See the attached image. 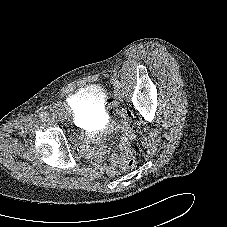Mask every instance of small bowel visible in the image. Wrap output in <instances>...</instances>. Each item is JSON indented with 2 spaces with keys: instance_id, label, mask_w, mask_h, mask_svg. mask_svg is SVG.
<instances>
[{
  "instance_id": "small-bowel-1",
  "label": "small bowel",
  "mask_w": 227,
  "mask_h": 227,
  "mask_svg": "<svg viewBox=\"0 0 227 227\" xmlns=\"http://www.w3.org/2000/svg\"><path fill=\"white\" fill-rule=\"evenodd\" d=\"M85 149L87 151L91 150L88 144L85 145ZM116 164H117V159H113L110 164L105 165L106 171L110 174H116L117 172Z\"/></svg>"
}]
</instances>
